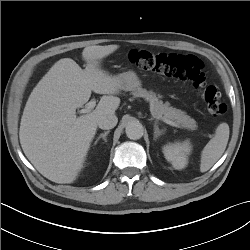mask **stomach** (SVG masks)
Masks as SVG:
<instances>
[{
  "instance_id": "0dacf381",
  "label": "stomach",
  "mask_w": 250,
  "mask_h": 250,
  "mask_svg": "<svg viewBox=\"0 0 250 250\" xmlns=\"http://www.w3.org/2000/svg\"><path fill=\"white\" fill-rule=\"evenodd\" d=\"M119 80V88L123 91H135L141 88V81L134 71L115 76Z\"/></svg>"
}]
</instances>
